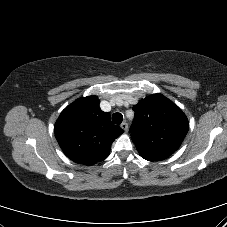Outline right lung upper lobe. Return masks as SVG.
<instances>
[{"label": "right lung upper lobe", "mask_w": 227, "mask_h": 227, "mask_svg": "<svg viewBox=\"0 0 227 227\" xmlns=\"http://www.w3.org/2000/svg\"><path fill=\"white\" fill-rule=\"evenodd\" d=\"M97 96L82 97L57 119L55 137L64 154L78 164L94 165L106 159L111 144L124 131L99 107Z\"/></svg>", "instance_id": "cb5924a9"}]
</instances>
